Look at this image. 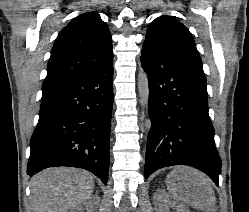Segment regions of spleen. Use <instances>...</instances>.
Wrapping results in <instances>:
<instances>
[{
	"label": "spleen",
	"instance_id": "1",
	"mask_svg": "<svg viewBox=\"0 0 249 212\" xmlns=\"http://www.w3.org/2000/svg\"><path fill=\"white\" fill-rule=\"evenodd\" d=\"M174 172H171V174H169V176H173ZM170 188H172V190H175V184H173V186H168V190H170ZM173 198H174V194H173Z\"/></svg>",
	"mask_w": 249,
	"mask_h": 212
}]
</instances>
